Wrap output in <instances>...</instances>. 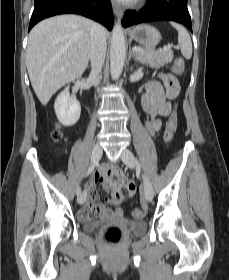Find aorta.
<instances>
[{
	"instance_id": "762f6f07",
	"label": "aorta",
	"mask_w": 229,
	"mask_h": 280,
	"mask_svg": "<svg viewBox=\"0 0 229 280\" xmlns=\"http://www.w3.org/2000/svg\"><path fill=\"white\" fill-rule=\"evenodd\" d=\"M125 55L126 43L124 32L121 24L118 22L113 27L111 38L110 71L113 80L118 79L122 73Z\"/></svg>"
}]
</instances>
